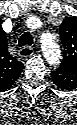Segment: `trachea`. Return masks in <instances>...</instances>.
<instances>
[{
  "instance_id": "obj_1",
  "label": "trachea",
  "mask_w": 77,
  "mask_h": 125,
  "mask_svg": "<svg viewBox=\"0 0 77 125\" xmlns=\"http://www.w3.org/2000/svg\"><path fill=\"white\" fill-rule=\"evenodd\" d=\"M19 46H26V45H32L33 44V37L29 32H25L22 34L19 38Z\"/></svg>"
}]
</instances>
